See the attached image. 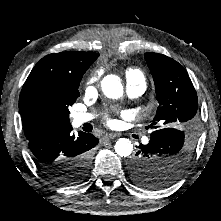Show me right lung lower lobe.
Segmentation results:
<instances>
[{
    "label": "right lung lower lobe",
    "mask_w": 221,
    "mask_h": 221,
    "mask_svg": "<svg viewBox=\"0 0 221 221\" xmlns=\"http://www.w3.org/2000/svg\"><path fill=\"white\" fill-rule=\"evenodd\" d=\"M71 131V124L61 125L44 129L28 139L37 167L48 178L62 185L83 180L90 165V149L99 141L90 133L79 132L75 137ZM79 158L85 161L83 175L68 168L73 160Z\"/></svg>",
    "instance_id": "right-lung-lower-lobe-1"
}]
</instances>
